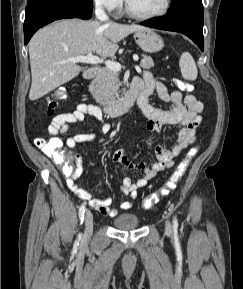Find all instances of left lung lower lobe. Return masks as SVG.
Masks as SVG:
<instances>
[{
	"label": "left lung lower lobe",
	"instance_id": "obj_1",
	"mask_svg": "<svg viewBox=\"0 0 243 289\" xmlns=\"http://www.w3.org/2000/svg\"><path fill=\"white\" fill-rule=\"evenodd\" d=\"M140 24L183 33L192 39L201 51L204 50L203 6L201 0H173L166 15L143 21Z\"/></svg>",
	"mask_w": 243,
	"mask_h": 289
}]
</instances>
